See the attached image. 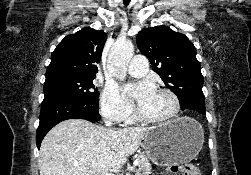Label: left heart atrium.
I'll use <instances>...</instances> for the list:
<instances>
[{
  "mask_svg": "<svg viewBox=\"0 0 251 175\" xmlns=\"http://www.w3.org/2000/svg\"><path fill=\"white\" fill-rule=\"evenodd\" d=\"M122 93L126 98L135 101L138 107L142 109L151 102L156 93V89L151 82L144 81L138 85H124L122 87Z\"/></svg>",
  "mask_w": 251,
  "mask_h": 175,
  "instance_id": "obj_1",
  "label": "left heart atrium"
}]
</instances>
